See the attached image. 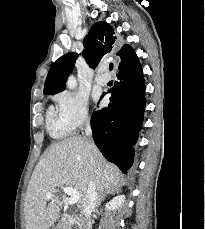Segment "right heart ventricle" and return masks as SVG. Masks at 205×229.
<instances>
[{
	"instance_id": "1",
	"label": "right heart ventricle",
	"mask_w": 205,
	"mask_h": 229,
	"mask_svg": "<svg viewBox=\"0 0 205 229\" xmlns=\"http://www.w3.org/2000/svg\"><path fill=\"white\" fill-rule=\"evenodd\" d=\"M46 126L48 133L54 139L65 138L72 132L53 108H50L47 112Z\"/></svg>"
}]
</instances>
